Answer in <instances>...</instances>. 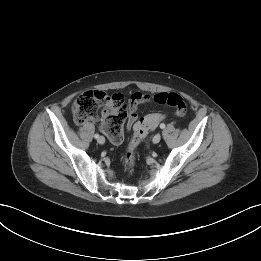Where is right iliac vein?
<instances>
[{"mask_svg":"<svg viewBox=\"0 0 261 261\" xmlns=\"http://www.w3.org/2000/svg\"><path fill=\"white\" fill-rule=\"evenodd\" d=\"M97 141H98L99 144H104L105 138L103 136H100Z\"/></svg>","mask_w":261,"mask_h":261,"instance_id":"1","label":"right iliac vein"}]
</instances>
